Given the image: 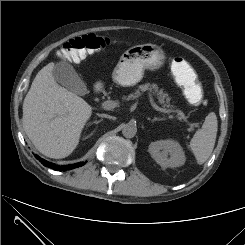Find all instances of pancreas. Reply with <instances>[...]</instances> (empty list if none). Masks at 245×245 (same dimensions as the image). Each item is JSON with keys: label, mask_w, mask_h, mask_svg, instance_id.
<instances>
[{"label": "pancreas", "mask_w": 245, "mask_h": 245, "mask_svg": "<svg viewBox=\"0 0 245 245\" xmlns=\"http://www.w3.org/2000/svg\"><path fill=\"white\" fill-rule=\"evenodd\" d=\"M145 91H149L150 95L156 96L158 102L166 109L174 111V106L170 104V98L167 93L163 91V89H159L157 84H142L139 85L138 89L134 92L130 93L128 96H123V100H134L140 97Z\"/></svg>", "instance_id": "obj_1"}]
</instances>
